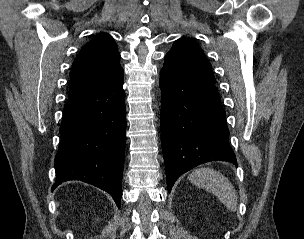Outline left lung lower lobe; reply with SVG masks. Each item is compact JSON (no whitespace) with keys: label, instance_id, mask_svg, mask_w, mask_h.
<instances>
[{"label":"left lung lower lobe","instance_id":"1","mask_svg":"<svg viewBox=\"0 0 304 239\" xmlns=\"http://www.w3.org/2000/svg\"><path fill=\"white\" fill-rule=\"evenodd\" d=\"M159 85L162 91L161 141L168 191L180 175L199 164L222 160L237 165L215 83L165 56Z\"/></svg>","mask_w":304,"mask_h":239}]
</instances>
